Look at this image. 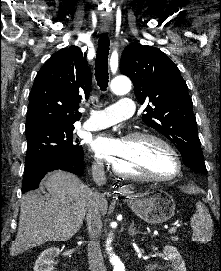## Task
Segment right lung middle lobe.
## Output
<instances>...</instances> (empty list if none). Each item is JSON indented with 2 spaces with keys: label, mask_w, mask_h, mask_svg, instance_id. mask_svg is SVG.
Here are the masks:
<instances>
[{
  "label": "right lung middle lobe",
  "mask_w": 221,
  "mask_h": 271,
  "mask_svg": "<svg viewBox=\"0 0 221 271\" xmlns=\"http://www.w3.org/2000/svg\"><path fill=\"white\" fill-rule=\"evenodd\" d=\"M74 126L46 125L26 131L25 164L57 158H70L83 151L73 140Z\"/></svg>",
  "instance_id": "right-lung-middle-lobe-1"
}]
</instances>
